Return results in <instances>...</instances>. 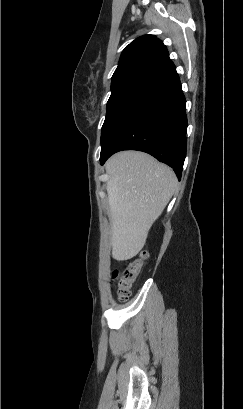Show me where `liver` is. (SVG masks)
Segmentation results:
<instances>
[{"mask_svg": "<svg viewBox=\"0 0 243 409\" xmlns=\"http://www.w3.org/2000/svg\"><path fill=\"white\" fill-rule=\"evenodd\" d=\"M105 168L112 257L125 261L144 247L151 226L174 194L177 178L170 167L138 151L116 153Z\"/></svg>", "mask_w": 243, "mask_h": 409, "instance_id": "6515ba94", "label": "liver"}]
</instances>
